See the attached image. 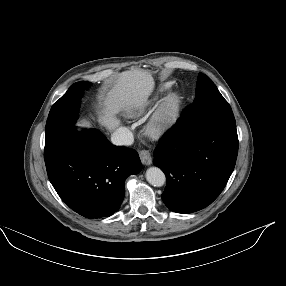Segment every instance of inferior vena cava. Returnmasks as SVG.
I'll list each match as a JSON object with an SVG mask.
<instances>
[{"label":"inferior vena cava","mask_w":286,"mask_h":286,"mask_svg":"<svg viewBox=\"0 0 286 286\" xmlns=\"http://www.w3.org/2000/svg\"><path fill=\"white\" fill-rule=\"evenodd\" d=\"M111 141L114 145H131L134 141L132 132L125 127L116 129L112 136Z\"/></svg>","instance_id":"1"}]
</instances>
